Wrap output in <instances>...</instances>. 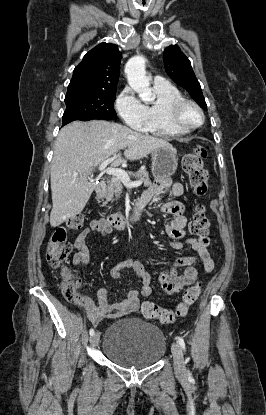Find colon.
I'll list each match as a JSON object with an SVG mask.
<instances>
[{"mask_svg":"<svg viewBox=\"0 0 266 415\" xmlns=\"http://www.w3.org/2000/svg\"><path fill=\"white\" fill-rule=\"evenodd\" d=\"M208 150L205 146H196L191 152L187 153L182 160V168L188 175L190 186L193 191L203 196L208 190V173L203 167V160L207 156ZM84 218L82 215H74L67 221V228L78 230L82 227ZM191 234L204 238L209 233V222L206 217L205 209L198 206L188 225ZM72 250V245L67 240L66 228L60 227L54 231L46 247V259L54 268H60L63 277L62 293L64 297L73 301L78 295L76 276L68 268L64 267ZM202 290L200 283H196L188 288L180 302L174 310L161 308L153 302H145L141 305L140 311L145 318L158 319L162 323H173L179 318L187 315L189 308L197 301Z\"/></svg>","mask_w":266,"mask_h":415,"instance_id":"1","label":"colon"}]
</instances>
